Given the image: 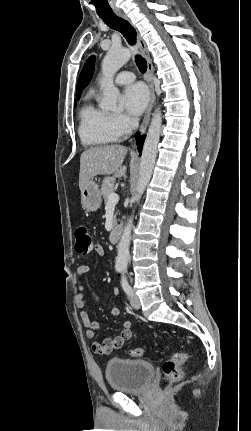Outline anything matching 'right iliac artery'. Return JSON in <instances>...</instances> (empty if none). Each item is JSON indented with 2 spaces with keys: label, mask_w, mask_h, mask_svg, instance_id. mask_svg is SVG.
Masks as SVG:
<instances>
[{
  "label": "right iliac artery",
  "mask_w": 251,
  "mask_h": 431,
  "mask_svg": "<svg viewBox=\"0 0 251 431\" xmlns=\"http://www.w3.org/2000/svg\"><path fill=\"white\" fill-rule=\"evenodd\" d=\"M122 271V268H117V272H121Z\"/></svg>",
  "instance_id": "82829eb1"
}]
</instances>
